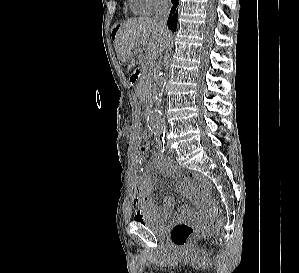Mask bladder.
Returning a JSON list of instances; mask_svg holds the SVG:
<instances>
[{
    "mask_svg": "<svg viewBox=\"0 0 299 273\" xmlns=\"http://www.w3.org/2000/svg\"><path fill=\"white\" fill-rule=\"evenodd\" d=\"M144 227L157 234H162L165 230V222L161 218L154 217L150 214L144 215L139 221Z\"/></svg>",
    "mask_w": 299,
    "mask_h": 273,
    "instance_id": "1",
    "label": "bladder"
}]
</instances>
